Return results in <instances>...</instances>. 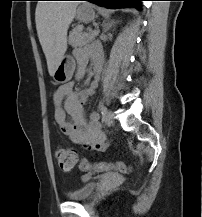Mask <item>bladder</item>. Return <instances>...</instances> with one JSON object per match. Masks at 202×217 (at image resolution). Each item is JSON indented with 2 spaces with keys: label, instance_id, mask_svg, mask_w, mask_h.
<instances>
[{
  "label": "bladder",
  "instance_id": "obj_1",
  "mask_svg": "<svg viewBox=\"0 0 202 217\" xmlns=\"http://www.w3.org/2000/svg\"><path fill=\"white\" fill-rule=\"evenodd\" d=\"M108 179H116L115 175H107ZM98 185L94 183H85L78 190L67 194L68 199L71 202H85L88 201L97 191Z\"/></svg>",
  "mask_w": 202,
  "mask_h": 217
}]
</instances>
